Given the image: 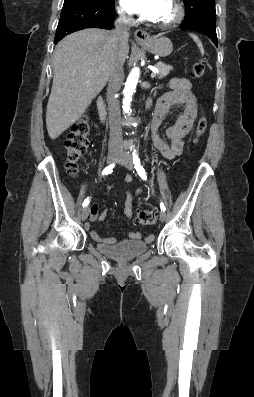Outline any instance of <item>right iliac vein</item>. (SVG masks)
I'll return each instance as SVG.
<instances>
[{
  "label": "right iliac vein",
  "instance_id": "63e3f726",
  "mask_svg": "<svg viewBox=\"0 0 254 397\" xmlns=\"http://www.w3.org/2000/svg\"><path fill=\"white\" fill-rule=\"evenodd\" d=\"M119 158H120V154H119V153H117V152H111V153L108 154L107 163H108V164H112V163H114L116 160H118ZM89 212H90V208H89V207H85V208L83 209L82 214H81V219H82L83 221H85V220L88 218Z\"/></svg>",
  "mask_w": 254,
  "mask_h": 397
}]
</instances>
